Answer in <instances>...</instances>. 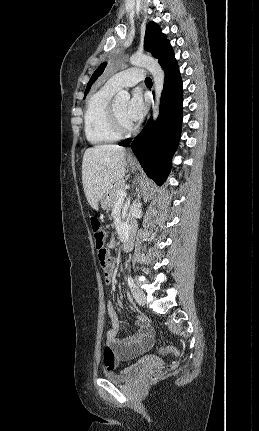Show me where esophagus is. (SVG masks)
Listing matches in <instances>:
<instances>
[{
    "label": "esophagus",
    "instance_id": "esophagus-1",
    "mask_svg": "<svg viewBox=\"0 0 259 431\" xmlns=\"http://www.w3.org/2000/svg\"><path fill=\"white\" fill-rule=\"evenodd\" d=\"M128 156L131 157V158H133V154H132L130 148H129V151H128Z\"/></svg>",
    "mask_w": 259,
    "mask_h": 431
}]
</instances>
